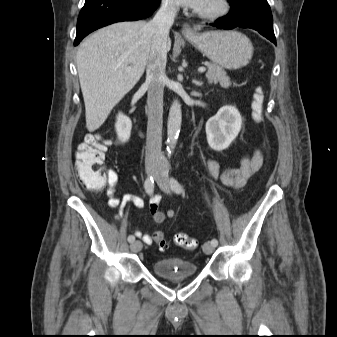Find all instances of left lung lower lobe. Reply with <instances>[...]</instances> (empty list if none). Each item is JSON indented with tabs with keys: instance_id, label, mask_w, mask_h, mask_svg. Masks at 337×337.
Segmentation results:
<instances>
[{
	"instance_id": "obj_1",
	"label": "left lung lower lobe",
	"mask_w": 337,
	"mask_h": 337,
	"mask_svg": "<svg viewBox=\"0 0 337 337\" xmlns=\"http://www.w3.org/2000/svg\"><path fill=\"white\" fill-rule=\"evenodd\" d=\"M219 29L251 28L276 44L270 6L264 0H250L231 9L227 16L211 24Z\"/></svg>"
}]
</instances>
